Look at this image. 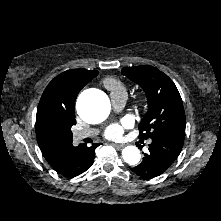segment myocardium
I'll return each instance as SVG.
<instances>
[{"label": "myocardium", "instance_id": "f54148a6", "mask_svg": "<svg viewBox=\"0 0 221 221\" xmlns=\"http://www.w3.org/2000/svg\"><path fill=\"white\" fill-rule=\"evenodd\" d=\"M139 102L140 103H145L146 102V98L145 97H140L139 98Z\"/></svg>", "mask_w": 221, "mask_h": 221}]
</instances>
